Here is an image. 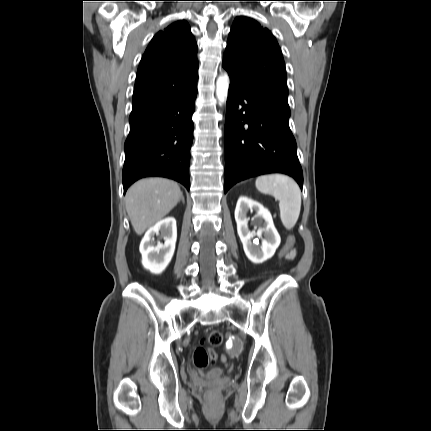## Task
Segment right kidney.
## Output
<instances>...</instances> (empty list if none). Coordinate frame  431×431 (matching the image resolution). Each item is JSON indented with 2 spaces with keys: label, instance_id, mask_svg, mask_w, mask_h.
Returning <instances> with one entry per match:
<instances>
[{
  "label": "right kidney",
  "instance_id": "1",
  "mask_svg": "<svg viewBox=\"0 0 431 431\" xmlns=\"http://www.w3.org/2000/svg\"><path fill=\"white\" fill-rule=\"evenodd\" d=\"M155 235H160L164 243L155 245ZM176 240L177 227L173 217L165 218L151 227L140 243L143 267L153 274L162 273L173 257Z\"/></svg>",
  "mask_w": 431,
  "mask_h": 431
}]
</instances>
